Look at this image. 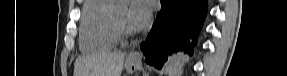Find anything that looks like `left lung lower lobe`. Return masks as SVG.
<instances>
[{
	"label": "left lung lower lobe",
	"mask_w": 287,
	"mask_h": 76,
	"mask_svg": "<svg viewBox=\"0 0 287 76\" xmlns=\"http://www.w3.org/2000/svg\"><path fill=\"white\" fill-rule=\"evenodd\" d=\"M161 5L156 23L140 45L146 62L157 68L172 54H193L207 13V0H161Z\"/></svg>",
	"instance_id": "0a47b994"
}]
</instances>
